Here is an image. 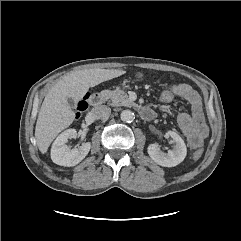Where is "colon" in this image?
Listing matches in <instances>:
<instances>
[{"instance_id": "1", "label": "colon", "mask_w": 241, "mask_h": 241, "mask_svg": "<svg viewBox=\"0 0 241 241\" xmlns=\"http://www.w3.org/2000/svg\"><path fill=\"white\" fill-rule=\"evenodd\" d=\"M174 99V94L170 86H166L165 88L162 89V91L159 94V100L162 103H170ZM87 108V98L84 97L77 105V115L80 114V112L86 110ZM203 151L202 150H197L193 153L192 158L194 160L200 159L202 156Z\"/></svg>"}]
</instances>
